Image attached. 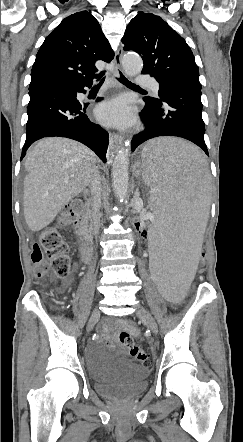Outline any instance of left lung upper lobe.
Here are the masks:
<instances>
[{
  "label": "left lung upper lobe",
  "instance_id": "5c2ea615",
  "mask_svg": "<svg viewBox=\"0 0 243 442\" xmlns=\"http://www.w3.org/2000/svg\"><path fill=\"white\" fill-rule=\"evenodd\" d=\"M122 42L125 50L142 56V73L151 74L160 85L171 80L199 82L190 47L161 17L139 12L128 24ZM145 99L157 101L152 97Z\"/></svg>",
  "mask_w": 243,
  "mask_h": 442
}]
</instances>
